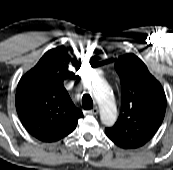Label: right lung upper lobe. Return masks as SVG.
<instances>
[{
	"label": "right lung upper lobe",
	"instance_id": "right-lung-upper-lobe-1",
	"mask_svg": "<svg viewBox=\"0 0 173 170\" xmlns=\"http://www.w3.org/2000/svg\"><path fill=\"white\" fill-rule=\"evenodd\" d=\"M78 65L77 60H71ZM68 54L54 48L19 81L16 110L25 129L43 142H55L76 127L83 116L71 101L63 81L69 75Z\"/></svg>",
	"mask_w": 173,
	"mask_h": 170
}]
</instances>
